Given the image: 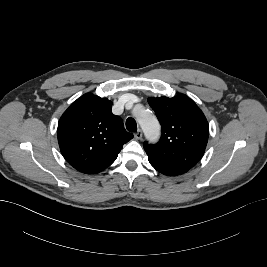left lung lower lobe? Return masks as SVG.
<instances>
[{
	"label": "left lung lower lobe",
	"instance_id": "left-lung-lower-lobe-1",
	"mask_svg": "<svg viewBox=\"0 0 267 267\" xmlns=\"http://www.w3.org/2000/svg\"><path fill=\"white\" fill-rule=\"evenodd\" d=\"M151 165L160 173L168 175V176L180 175L188 171V170L180 169V168L163 167V166H158V165H153V164Z\"/></svg>",
	"mask_w": 267,
	"mask_h": 267
}]
</instances>
